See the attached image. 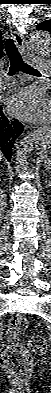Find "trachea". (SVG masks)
<instances>
[{
  "instance_id": "obj_1",
  "label": "trachea",
  "mask_w": 51,
  "mask_h": 393,
  "mask_svg": "<svg viewBox=\"0 0 51 393\" xmlns=\"http://www.w3.org/2000/svg\"><path fill=\"white\" fill-rule=\"evenodd\" d=\"M5 51L10 60V68H9L8 75L12 76L19 71L29 75H38V76L41 75L38 70L34 69L33 67L29 66L23 61L14 43V40L11 37L7 38L5 41Z\"/></svg>"
}]
</instances>
